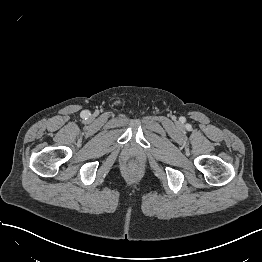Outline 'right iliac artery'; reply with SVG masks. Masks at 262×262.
Wrapping results in <instances>:
<instances>
[{
	"label": "right iliac artery",
	"mask_w": 262,
	"mask_h": 262,
	"mask_svg": "<svg viewBox=\"0 0 262 262\" xmlns=\"http://www.w3.org/2000/svg\"><path fill=\"white\" fill-rule=\"evenodd\" d=\"M89 115H90V113H89L88 110L83 111L82 114H81V116H82L83 118H87V117H89Z\"/></svg>",
	"instance_id": "1"
}]
</instances>
